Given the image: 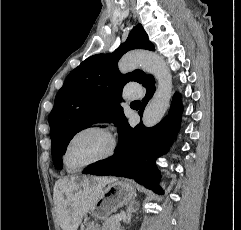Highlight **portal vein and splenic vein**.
I'll list each match as a JSON object with an SVG mask.
<instances>
[{"label":"portal vein and splenic vein","mask_w":241,"mask_h":230,"mask_svg":"<svg viewBox=\"0 0 241 230\" xmlns=\"http://www.w3.org/2000/svg\"><path fill=\"white\" fill-rule=\"evenodd\" d=\"M115 219L117 220V221H121L122 220V216L121 215H115Z\"/></svg>","instance_id":"portal-vein-and-splenic-vein-1"}]
</instances>
